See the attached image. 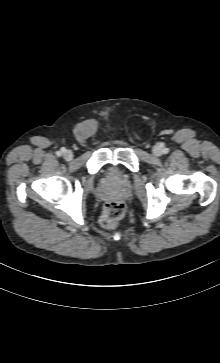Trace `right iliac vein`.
I'll return each mask as SVG.
<instances>
[{
    "label": "right iliac vein",
    "instance_id": "obj_1",
    "mask_svg": "<svg viewBox=\"0 0 220 363\" xmlns=\"http://www.w3.org/2000/svg\"><path fill=\"white\" fill-rule=\"evenodd\" d=\"M63 157L66 161H71L73 159V153L70 150H66L63 153Z\"/></svg>",
    "mask_w": 220,
    "mask_h": 363
}]
</instances>
